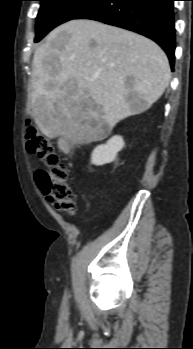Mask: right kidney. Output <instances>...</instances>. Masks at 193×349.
Instances as JSON below:
<instances>
[{
  "label": "right kidney",
  "instance_id": "right-kidney-1",
  "mask_svg": "<svg viewBox=\"0 0 193 349\" xmlns=\"http://www.w3.org/2000/svg\"><path fill=\"white\" fill-rule=\"evenodd\" d=\"M124 147L121 136H113L106 144L97 146L91 155V163L97 166L111 163L116 159L117 153Z\"/></svg>",
  "mask_w": 193,
  "mask_h": 349
}]
</instances>
